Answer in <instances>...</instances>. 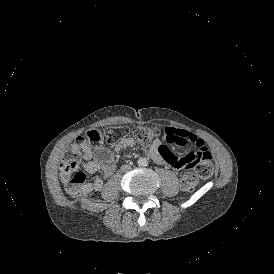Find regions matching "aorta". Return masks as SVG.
Returning a JSON list of instances; mask_svg holds the SVG:
<instances>
[{
	"instance_id": "762f6f07",
	"label": "aorta",
	"mask_w": 274,
	"mask_h": 274,
	"mask_svg": "<svg viewBox=\"0 0 274 274\" xmlns=\"http://www.w3.org/2000/svg\"><path fill=\"white\" fill-rule=\"evenodd\" d=\"M138 164H139V166H146V165L148 164V161H147L146 158L141 157V158H139V160H138Z\"/></svg>"
}]
</instances>
